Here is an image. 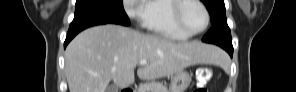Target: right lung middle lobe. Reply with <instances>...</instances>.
<instances>
[{"instance_id":"right-lung-middle-lobe-1","label":"right lung middle lobe","mask_w":296,"mask_h":92,"mask_svg":"<svg viewBox=\"0 0 296 92\" xmlns=\"http://www.w3.org/2000/svg\"><path fill=\"white\" fill-rule=\"evenodd\" d=\"M88 20L130 25L123 8V0H77L72 23Z\"/></svg>"}]
</instances>
